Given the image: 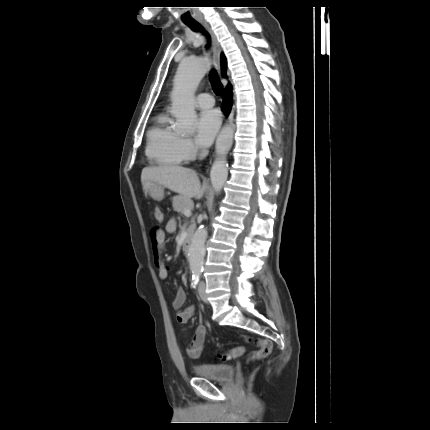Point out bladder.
Here are the masks:
<instances>
[{
	"mask_svg": "<svg viewBox=\"0 0 430 430\" xmlns=\"http://www.w3.org/2000/svg\"><path fill=\"white\" fill-rule=\"evenodd\" d=\"M194 373L209 380L228 382L235 375V367L226 364H199L194 367Z\"/></svg>",
	"mask_w": 430,
	"mask_h": 430,
	"instance_id": "bladder-1",
	"label": "bladder"
}]
</instances>
